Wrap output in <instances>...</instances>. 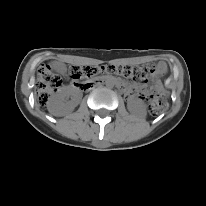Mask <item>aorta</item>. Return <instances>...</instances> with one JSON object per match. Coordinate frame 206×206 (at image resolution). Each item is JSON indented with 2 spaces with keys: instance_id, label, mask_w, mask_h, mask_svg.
<instances>
[{
  "instance_id": "1",
  "label": "aorta",
  "mask_w": 206,
  "mask_h": 206,
  "mask_svg": "<svg viewBox=\"0 0 206 206\" xmlns=\"http://www.w3.org/2000/svg\"><path fill=\"white\" fill-rule=\"evenodd\" d=\"M105 84L109 88H112L114 86V82L111 78L106 79Z\"/></svg>"
}]
</instances>
